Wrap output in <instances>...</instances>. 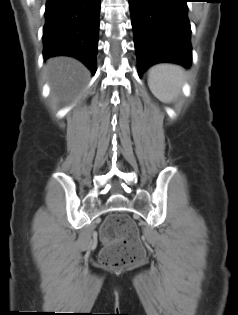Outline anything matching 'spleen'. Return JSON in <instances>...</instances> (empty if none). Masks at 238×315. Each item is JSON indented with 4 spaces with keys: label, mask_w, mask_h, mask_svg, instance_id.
<instances>
[{
    "label": "spleen",
    "mask_w": 238,
    "mask_h": 315,
    "mask_svg": "<svg viewBox=\"0 0 238 315\" xmlns=\"http://www.w3.org/2000/svg\"><path fill=\"white\" fill-rule=\"evenodd\" d=\"M185 71L174 64H157L149 69L148 85L152 93L164 102H173L180 95Z\"/></svg>",
    "instance_id": "3e777b00"
}]
</instances>
